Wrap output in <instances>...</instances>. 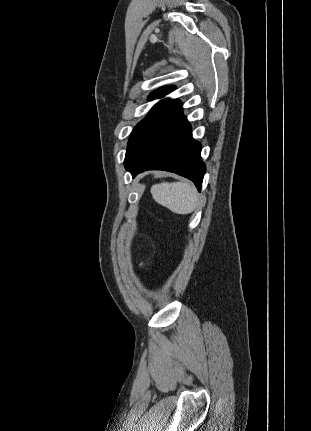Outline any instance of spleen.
Segmentation results:
<instances>
[{"instance_id":"1","label":"spleen","mask_w":311,"mask_h":431,"mask_svg":"<svg viewBox=\"0 0 311 431\" xmlns=\"http://www.w3.org/2000/svg\"><path fill=\"white\" fill-rule=\"evenodd\" d=\"M153 200L174 214H192L198 206L196 188L189 182H163L151 188Z\"/></svg>"}]
</instances>
